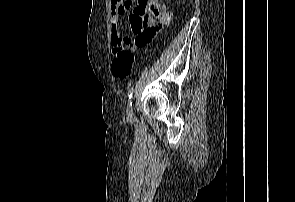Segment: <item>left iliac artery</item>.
Instances as JSON below:
<instances>
[{"label":"left iliac artery","mask_w":295,"mask_h":202,"mask_svg":"<svg viewBox=\"0 0 295 202\" xmlns=\"http://www.w3.org/2000/svg\"><path fill=\"white\" fill-rule=\"evenodd\" d=\"M134 93V88L132 87L131 89H129L128 91V98L131 99Z\"/></svg>","instance_id":"1"}]
</instances>
